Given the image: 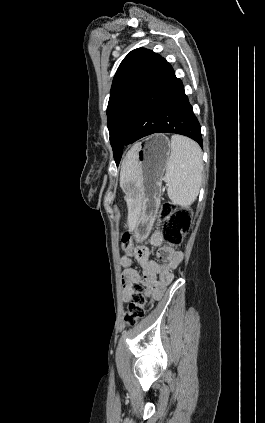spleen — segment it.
I'll return each mask as SVG.
<instances>
[{
	"mask_svg": "<svg viewBox=\"0 0 265 423\" xmlns=\"http://www.w3.org/2000/svg\"><path fill=\"white\" fill-rule=\"evenodd\" d=\"M202 172L203 161L199 145L189 138L172 135L164 181L173 204L187 207L196 200Z\"/></svg>",
	"mask_w": 265,
	"mask_h": 423,
	"instance_id": "1",
	"label": "spleen"
}]
</instances>
